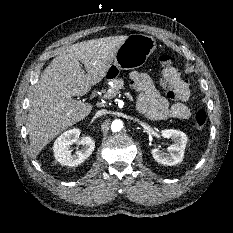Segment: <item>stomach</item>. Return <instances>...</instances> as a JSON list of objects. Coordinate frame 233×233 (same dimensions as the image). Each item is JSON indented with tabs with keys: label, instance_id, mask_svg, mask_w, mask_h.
I'll return each mask as SVG.
<instances>
[{
	"label": "stomach",
	"instance_id": "0dacf381",
	"mask_svg": "<svg viewBox=\"0 0 233 233\" xmlns=\"http://www.w3.org/2000/svg\"><path fill=\"white\" fill-rule=\"evenodd\" d=\"M155 49L156 41L152 36L130 34L117 50L112 66L118 71L139 67Z\"/></svg>",
	"mask_w": 233,
	"mask_h": 233
}]
</instances>
